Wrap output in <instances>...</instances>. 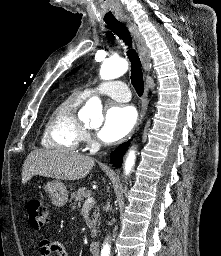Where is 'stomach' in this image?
Returning <instances> with one entry per match:
<instances>
[{
  "label": "stomach",
  "instance_id": "stomach-1",
  "mask_svg": "<svg viewBox=\"0 0 221 256\" xmlns=\"http://www.w3.org/2000/svg\"><path fill=\"white\" fill-rule=\"evenodd\" d=\"M44 188L55 206L62 207L66 204L68 191L62 182L58 180L49 181Z\"/></svg>",
  "mask_w": 221,
  "mask_h": 256
}]
</instances>
